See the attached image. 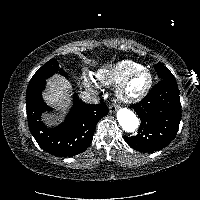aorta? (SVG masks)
I'll return each instance as SVG.
<instances>
[{"mask_svg":"<svg viewBox=\"0 0 200 200\" xmlns=\"http://www.w3.org/2000/svg\"><path fill=\"white\" fill-rule=\"evenodd\" d=\"M117 120L126 132H134L140 124L138 117L128 108H120L117 111Z\"/></svg>","mask_w":200,"mask_h":200,"instance_id":"1","label":"aorta"}]
</instances>
